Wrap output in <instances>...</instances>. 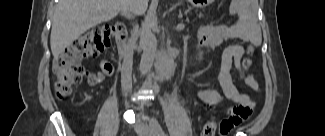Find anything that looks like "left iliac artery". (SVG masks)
Returning <instances> with one entry per match:
<instances>
[{
    "label": "left iliac artery",
    "mask_w": 325,
    "mask_h": 136,
    "mask_svg": "<svg viewBox=\"0 0 325 136\" xmlns=\"http://www.w3.org/2000/svg\"><path fill=\"white\" fill-rule=\"evenodd\" d=\"M150 124L155 127L156 131H157V135L158 136H166V134L164 133V131L162 130L161 126L159 125L158 121L156 119H152Z\"/></svg>",
    "instance_id": "44dca946"
}]
</instances>
